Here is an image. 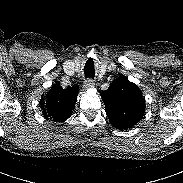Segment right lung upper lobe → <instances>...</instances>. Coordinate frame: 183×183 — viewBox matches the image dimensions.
Instances as JSON below:
<instances>
[{"mask_svg":"<svg viewBox=\"0 0 183 183\" xmlns=\"http://www.w3.org/2000/svg\"><path fill=\"white\" fill-rule=\"evenodd\" d=\"M78 92V86L63 89L58 84H54L40 100L43 115L57 122L67 120L74 109Z\"/></svg>","mask_w":183,"mask_h":183,"instance_id":"right-lung-upper-lobe-1","label":"right lung upper lobe"}]
</instances>
